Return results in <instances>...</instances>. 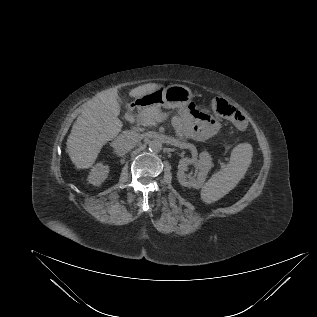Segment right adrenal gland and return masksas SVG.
Listing matches in <instances>:
<instances>
[{
	"instance_id": "obj_1",
	"label": "right adrenal gland",
	"mask_w": 317,
	"mask_h": 317,
	"mask_svg": "<svg viewBox=\"0 0 317 317\" xmlns=\"http://www.w3.org/2000/svg\"><path fill=\"white\" fill-rule=\"evenodd\" d=\"M113 153L116 154L117 156H120L119 154L116 153V151H114Z\"/></svg>"
}]
</instances>
